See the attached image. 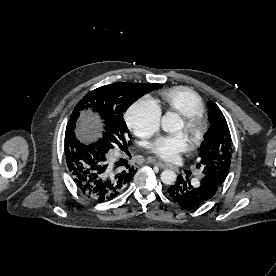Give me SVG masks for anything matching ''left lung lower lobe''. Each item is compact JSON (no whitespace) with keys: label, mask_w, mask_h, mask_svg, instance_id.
I'll return each instance as SVG.
<instances>
[{"label":"left lung lower lobe","mask_w":276,"mask_h":276,"mask_svg":"<svg viewBox=\"0 0 276 276\" xmlns=\"http://www.w3.org/2000/svg\"><path fill=\"white\" fill-rule=\"evenodd\" d=\"M219 189L217 181L209 175L203 176L197 185L193 186L181 175L177 182L168 188L169 196L178 204L196 209L209 201Z\"/></svg>","instance_id":"left-lung-lower-lobe-1"}]
</instances>
